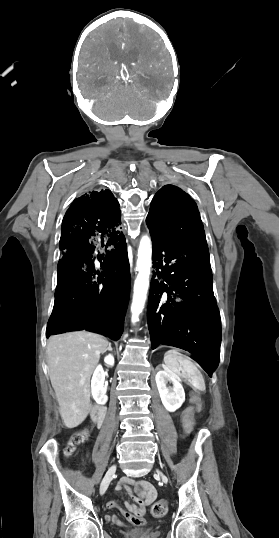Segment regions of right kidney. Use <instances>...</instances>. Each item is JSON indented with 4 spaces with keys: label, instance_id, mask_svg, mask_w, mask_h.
<instances>
[{
    "label": "right kidney",
    "instance_id": "ca27d5eb",
    "mask_svg": "<svg viewBox=\"0 0 279 538\" xmlns=\"http://www.w3.org/2000/svg\"><path fill=\"white\" fill-rule=\"evenodd\" d=\"M107 366H114V358L112 354H108L104 358ZM105 372L102 366H97L93 378L91 380L92 396L97 404H106L108 396H106L107 388H104Z\"/></svg>",
    "mask_w": 279,
    "mask_h": 538
}]
</instances>
